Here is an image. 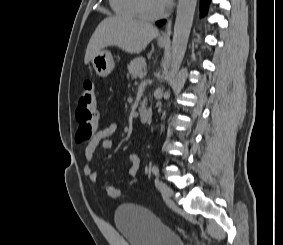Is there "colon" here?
I'll return each instance as SVG.
<instances>
[{
  "instance_id": "colon-1",
  "label": "colon",
  "mask_w": 283,
  "mask_h": 245,
  "mask_svg": "<svg viewBox=\"0 0 283 245\" xmlns=\"http://www.w3.org/2000/svg\"><path fill=\"white\" fill-rule=\"evenodd\" d=\"M75 117L78 122L76 142L83 143L90 140L96 124L95 83L92 80L85 81L81 86ZM107 194L113 199L122 197L120 190L114 186L108 187Z\"/></svg>"
}]
</instances>
